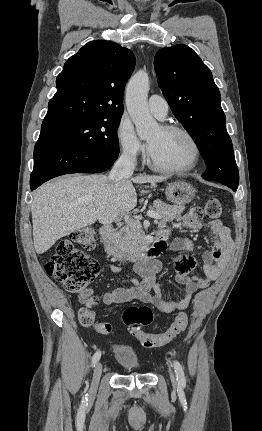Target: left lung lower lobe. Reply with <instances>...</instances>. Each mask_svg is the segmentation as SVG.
I'll return each instance as SVG.
<instances>
[{
	"label": "left lung lower lobe",
	"instance_id": "1",
	"mask_svg": "<svg viewBox=\"0 0 262 431\" xmlns=\"http://www.w3.org/2000/svg\"><path fill=\"white\" fill-rule=\"evenodd\" d=\"M229 188H231L233 191L237 190V188H235V187H229Z\"/></svg>",
	"mask_w": 262,
	"mask_h": 431
}]
</instances>
